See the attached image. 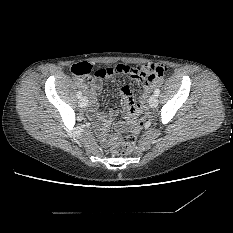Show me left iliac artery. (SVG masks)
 I'll return each instance as SVG.
<instances>
[{"label":"left iliac artery","mask_w":233,"mask_h":233,"mask_svg":"<svg viewBox=\"0 0 233 233\" xmlns=\"http://www.w3.org/2000/svg\"><path fill=\"white\" fill-rule=\"evenodd\" d=\"M154 94H155L156 96H158V95L160 94L159 88H156V89H155Z\"/></svg>","instance_id":"1"}]
</instances>
